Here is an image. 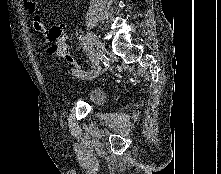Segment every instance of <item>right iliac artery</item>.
<instances>
[{"label":"right iliac artery","instance_id":"1","mask_svg":"<svg viewBox=\"0 0 221 174\" xmlns=\"http://www.w3.org/2000/svg\"><path fill=\"white\" fill-rule=\"evenodd\" d=\"M80 44L83 48V50L87 53L90 61H91V69L89 70H82V69H75L73 71V75L81 80H93L97 78L100 74L101 66L100 61L97 56H92L90 54V40L86 36H80L79 37Z\"/></svg>","mask_w":221,"mask_h":174}]
</instances>
